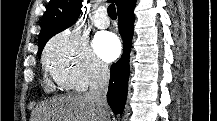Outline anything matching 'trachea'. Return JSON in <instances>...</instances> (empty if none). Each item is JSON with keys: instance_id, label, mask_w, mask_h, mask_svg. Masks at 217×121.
Masks as SVG:
<instances>
[{"instance_id": "1", "label": "trachea", "mask_w": 217, "mask_h": 121, "mask_svg": "<svg viewBox=\"0 0 217 121\" xmlns=\"http://www.w3.org/2000/svg\"><path fill=\"white\" fill-rule=\"evenodd\" d=\"M107 12H108V15H109L110 18H112V19L117 18V13H116V8H115V4L114 3H111L108 6Z\"/></svg>"}]
</instances>
